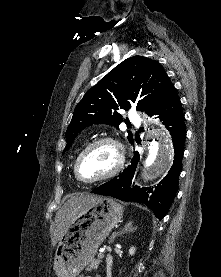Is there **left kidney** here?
<instances>
[{
	"instance_id": "left-kidney-1",
	"label": "left kidney",
	"mask_w": 221,
	"mask_h": 277,
	"mask_svg": "<svg viewBox=\"0 0 221 277\" xmlns=\"http://www.w3.org/2000/svg\"><path fill=\"white\" fill-rule=\"evenodd\" d=\"M135 251H136V248L132 246V247L129 249V255H130V256H133V255L135 254Z\"/></svg>"
}]
</instances>
